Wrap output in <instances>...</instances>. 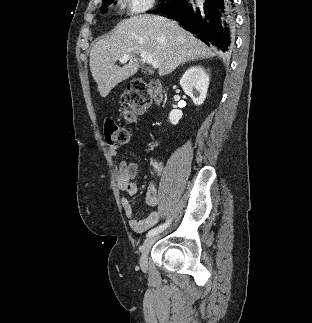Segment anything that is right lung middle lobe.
<instances>
[{"mask_svg": "<svg viewBox=\"0 0 312 323\" xmlns=\"http://www.w3.org/2000/svg\"><path fill=\"white\" fill-rule=\"evenodd\" d=\"M113 1L114 0H110V1H108L106 3H103L101 9L105 8L108 4H110ZM179 1L180 0H161V4L158 6V10L165 9V8H172ZM158 10H156V11H158ZM156 11H154V12H156Z\"/></svg>", "mask_w": 312, "mask_h": 323, "instance_id": "right-lung-middle-lobe-1", "label": "right lung middle lobe"}]
</instances>
